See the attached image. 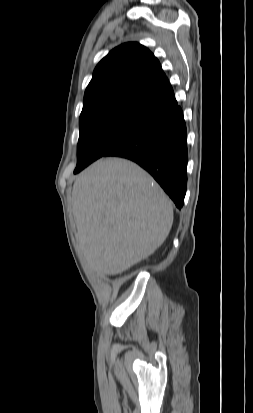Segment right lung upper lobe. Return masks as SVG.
I'll use <instances>...</instances> for the list:
<instances>
[{"instance_id":"1","label":"right lung upper lobe","mask_w":253,"mask_h":413,"mask_svg":"<svg viewBox=\"0 0 253 413\" xmlns=\"http://www.w3.org/2000/svg\"><path fill=\"white\" fill-rule=\"evenodd\" d=\"M175 107L173 89L159 61L139 43H126L96 66L80 117L110 108L134 109L157 117Z\"/></svg>"}]
</instances>
